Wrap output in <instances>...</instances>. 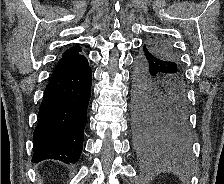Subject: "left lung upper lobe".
Returning a JSON list of instances; mask_svg holds the SVG:
<instances>
[{
	"label": "left lung upper lobe",
	"mask_w": 224,
	"mask_h": 184,
	"mask_svg": "<svg viewBox=\"0 0 224 184\" xmlns=\"http://www.w3.org/2000/svg\"><path fill=\"white\" fill-rule=\"evenodd\" d=\"M147 47L157 58L172 62L179 67L178 56L169 43L164 41H155L150 43ZM180 74L182 75V73Z\"/></svg>",
	"instance_id": "obj_1"
}]
</instances>
